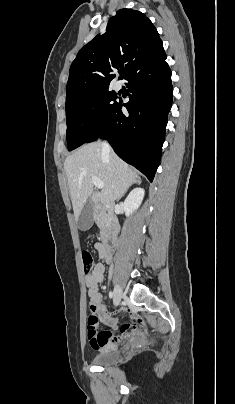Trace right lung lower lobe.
<instances>
[{
	"mask_svg": "<svg viewBox=\"0 0 235 404\" xmlns=\"http://www.w3.org/2000/svg\"><path fill=\"white\" fill-rule=\"evenodd\" d=\"M166 56L156 63L133 72L125 80L132 93L108 112L86 143L107 139L115 153L140 170L152 182L159 166L167 115L172 105L171 70Z\"/></svg>",
	"mask_w": 235,
	"mask_h": 404,
	"instance_id": "right-lung-lower-lobe-1",
	"label": "right lung lower lobe"
}]
</instances>
